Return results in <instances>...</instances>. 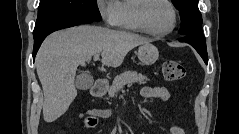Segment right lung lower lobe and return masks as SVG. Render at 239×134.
I'll return each mask as SVG.
<instances>
[{
  "label": "right lung lower lobe",
  "instance_id": "obj_1",
  "mask_svg": "<svg viewBox=\"0 0 239 134\" xmlns=\"http://www.w3.org/2000/svg\"><path fill=\"white\" fill-rule=\"evenodd\" d=\"M91 22H93V21L89 20V19H84V18H70V19H64V20H61V21H58V22H55V23L49 25L47 28H45L40 33L34 35L33 59H35V55H36L41 43L46 38V36L49 35L50 33L54 32L56 30L76 26L79 24H88Z\"/></svg>",
  "mask_w": 239,
  "mask_h": 134
}]
</instances>
